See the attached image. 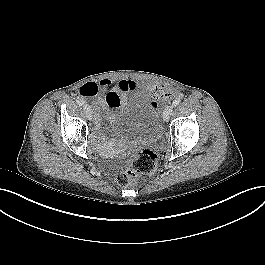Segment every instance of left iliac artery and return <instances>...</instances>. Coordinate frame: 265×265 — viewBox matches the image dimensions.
Returning <instances> with one entry per match:
<instances>
[{"mask_svg":"<svg viewBox=\"0 0 265 265\" xmlns=\"http://www.w3.org/2000/svg\"><path fill=\"white\" fill-rule=\"evenodd\" d=\"M180 103V99H175L172 103V107H176L177 105H179Z\"/></svg>","mask_w":265,"mask_h":265,"instance_id":"44dca946","label":"left iliac artery"}]
</instances>
